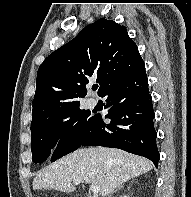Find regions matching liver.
Returning a JSON list of instances; mask_svg holds the SVG:
<instances>
[{"label":"liver","instance_id":"liver-1","mask_svg":"<svg viewBox=\"0 0 191 197\" xmlns=\"http://www.w3.org/2000/svg\"><path fill=\"white\" fill-rule=\"evenodd\" d=\"M147 158L120 149L91 147L70 153L46 166L36 174L33 189L50 188L71 193L76 190L72 182L94 184L105 197L124 182L152 170ZM74 183V182H73Z\"/></svg>","mask_w":191,"mask_h":197}]
</instances>
